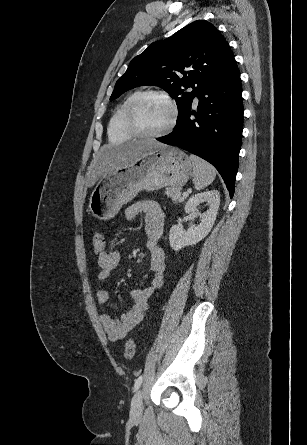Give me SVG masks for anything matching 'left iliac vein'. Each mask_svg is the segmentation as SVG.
Here are the masks:
<instances>
[{"label":"left iliac vein","mask_w":307,"mask_h":445,"mask_svg":"<svg viewBox=\"0 0 307 445\" xmlns=\"http://www.w3.org/2000/svg\"><path fill=\"white\" fill-rule=\"evenodd\" d=\"M143 401L142 392L139 390L135 393L131 402L130 417L132 420H138L142 416Z\"/></svg>","instance_id":"left-iliac-vein-1"}]
</instances>
